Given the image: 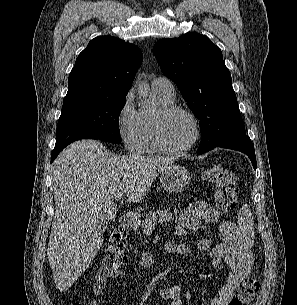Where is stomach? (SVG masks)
<instances>
[{
	"instance_id": "0dacf381",
	"label": "stomach",
	"mask_w": 297,
	"mask_h": 305,
	"mask_svg": "<svg viewBox=\"0 0 297 305\" xmlns=\"http://www.w3.org/2000/svg\"><path fill=\"white\" fill-rule=\"evenodd\" d=\"M191 177L188 170L180 165H170L161 172L160 182L168 193L183 191L190 183Z\"/></svg>"
}]
</instances>
